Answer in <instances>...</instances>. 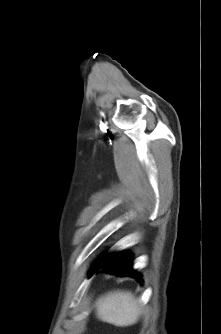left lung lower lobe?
<instances>
[{
	"label": "left lung lower lobe",
	"instance_id": "1",
	"mask_svg": "<svg viewBox=\"0 0 221 334\" xmlns=\"http://www.w3.org/2000/svg\"><path fill=\"white\" fill-rule=\"evenodd\" d=\"M131 260L132 256L128 253H117L106 256L98 262L93 273L96 269H102L103 272L132 277L142 283L141 275L132 270Z\"/></svg>",
	"mask_w": 221,
	"mask_h": 334
}]
</instances>
